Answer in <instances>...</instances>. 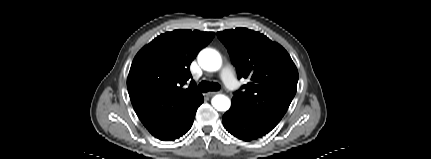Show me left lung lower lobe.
I'll return each mask as SVG.
<instances>
[{"mask_svg": "<svg viewBox=\"0 0 431 159\" xmlns=\"http://www.w3.org/2000/svg\"><path fill=\"white\" fill-rule=\"evenodd\" d=\"M277 124L278 122L275 120L245 111L234 102L223 115L225 129L244 141L264 136Z\"/></svg>", "mask_w": 431, "mask_h": 159, "instance_id": "0a47b994", "label": "left lung lower lobe"}]
</instances>
